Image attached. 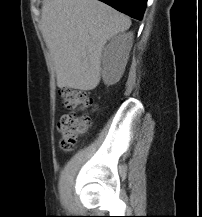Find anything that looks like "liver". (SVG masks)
<instances>
[{"instance_id":"6515ba94","label":"liver","mask_w":202,"mask_h":217,"mask_svg":"<svg viewBox=\"0 0 202 217\" xmlns=\"http://www.w3.org/2000/svg\"><path fill=\"white\" fill-rule=\"evenodd\" d=\"M41 12L40 30L54 62L57 86L95 89L104 45L130 28V18L98 0H45Z\"/></svg>"}]
</instances>
